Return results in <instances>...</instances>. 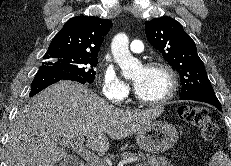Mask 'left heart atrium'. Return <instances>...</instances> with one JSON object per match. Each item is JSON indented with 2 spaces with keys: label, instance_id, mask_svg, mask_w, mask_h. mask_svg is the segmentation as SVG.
Returning a JSON list of instances; mask_svg holds the SVG:
<instances>
[{
  "label": "left heart atrium",
  "instance_id": "39dd6f15",
  "mask_svg": "<svg viewBox=\"0 0 231 166\" xmlns=\"http://www.w3.org/2000/svg\"><path fill=\"white\" fill-rule=\"evenodd\" d=\"M137 86H138V83H136V82H135V83H134V87H135V89L137 88Z\"/></svg>",
  "mask_w": 231,
  "mask_h": 166
}]
</instances>
